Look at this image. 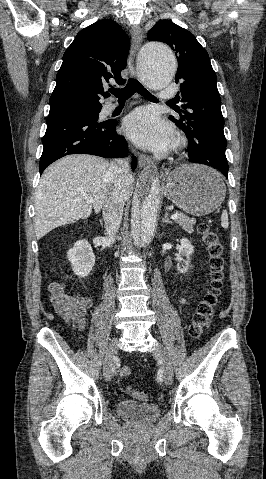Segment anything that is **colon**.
<instances>
[{"label": "colon", "instance_id": "5ec220e1", "mask_svg": "<svg viewBox=\"0 0 266 479\" xmlns=\"http://www.w3.org/2000/svg\"><path fill=\"white\" fill-rule=\"evenodd\" d=\"M198 232L209 253L210 266V288L205 294L203 300L198 304L193 321L189 328V334L192 338L201 337L211 323L215 313L216 306L222 295L224 279H225V259L224 245L216 232L207 223H200ZM131 374L129 367H123L120 370V376L124 379ZM130 394L140 400L148 401L149 394L146 391H138L129 389Z\"/></svg>", "mask_w": 266, "mask_h": 479}]
</instances>
